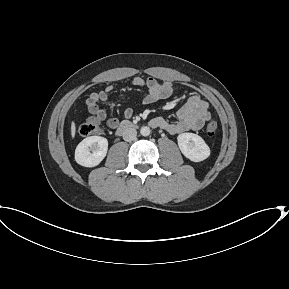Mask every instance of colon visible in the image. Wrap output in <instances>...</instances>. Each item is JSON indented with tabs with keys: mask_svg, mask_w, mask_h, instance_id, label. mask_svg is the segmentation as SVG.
Instances as JSON below:
<instances>
[{
	"mask_svg": "<svg viewBox=\"0 0 289 289\" xmlns=\"http://www.w3.org/2000/svg\"><path fill=\"white\" fill-rule=\"evenodd\" d=\"M218 128V123L215 119H210L206 124V134L208 136H213ZM103 132L101 123L99 119L96 117H90L88 118L83 124L79 127V133L81 136L87 137V136H96L100 135Z\"/></svg>",
	"mask_w": 289,
	"mask_h": 289,
	"instance_id": "colon-1",
	"label": "colon"
}]
</instances>
